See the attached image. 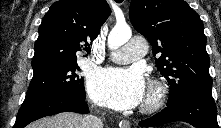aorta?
Segmentation results:
<instances>
[{
	"instance_id": "762f6f07",
	"label": "aorta",
	"mask_w": 221,
	"mask_h": 128,
	"mask_svg": "<svg viewBox=\"0 0 221 128\" xmlns=\"http://www.w3.org/2000/svg\"><path fill=\"white\" fill-rule=\"evenodd\" d=\"M132 37L131 28L128 25H116L108 35V47L115 50L128 42Z\"/></svg>"
}]
</instances>
